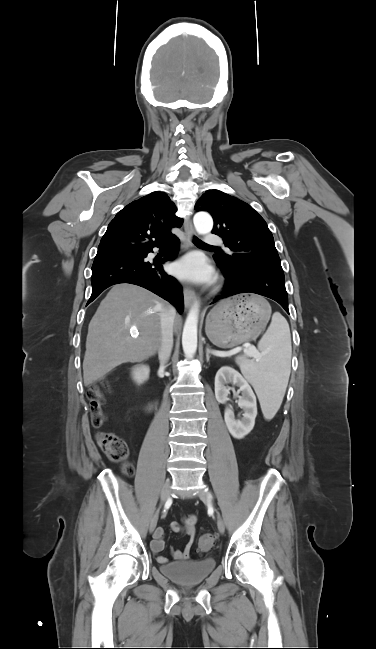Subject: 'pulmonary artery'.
Instances as JSON below:
<instances>
[{
  "label": "pulmonary artery",
  "mask_w": 376,
  "mask_h": 649,
  "mask_svg": "<svg viewBox=\"0 0 376 649\" xmlns=\"http://www.w3.org/2000/svg\"><path fill=\"white\" fill-rule=\"evenodd\" d=\"M205 244L209 246L223 245V241L219 236L207 234L204 239Z\"/></svg>",
  "instance_id": "obj_1"
}]
</instances>
